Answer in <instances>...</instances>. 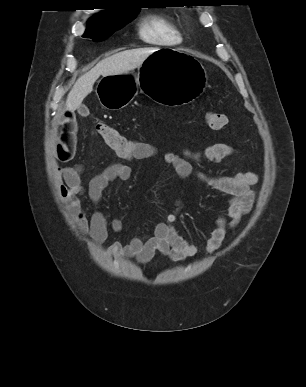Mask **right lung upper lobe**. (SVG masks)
Returning a JSON list of instances; mask_svg holds the SVG:
<instances>
[{
    "label": "right lung upper lobe",
    "mask_w": 306,
    "mask_h": 387,
    "mask_svg": "<svg viewBox=\"0 0 306 387\" xmlns=\"http://www.w3.org/2000/svg\"><path fill=\"white\" fill-rule=\"evenodd\" d=\"M130 9H140V8H137V7H135V8H122V7L114 8V9H111L110 11L96 15L95 17L90 19L89 22H98V23L106 22V21H109L111 18L116 17L119 13H121L123 11L130 10Z\"/></svg>",
    "instance_id": "1"
}]
</instances>
